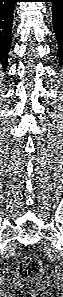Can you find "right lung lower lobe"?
<instances>
[{"label":"right lung lower lobe","mask_w":63,"mask_h":297,"mask_svg":"<svg viewBox=\"0 0 63 297\" xmlns=\"http://www.w3.org/2000/svg\"><path fill=\"white\" fill-rule=\"evenodd\" d=\"M16 0H0V64L7 67V57L11 44L13 10Z\"/></svg>","instance_id":"obj_1"}]
</instances>
